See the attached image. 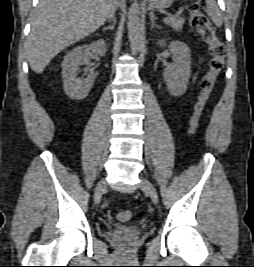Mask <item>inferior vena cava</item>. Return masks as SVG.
<instances>
[{
    "instance_id": "1",
    "label": "inferior vena cava",
    "mask_w": 254,
    "mask_h": 267,
    "mask_svg": "<svg viewBox=\"0 0 254 267\" xmlns=\"http://www.w3.org/2000/svg\"><path fill=\"white\" fill-rule=\"evenodd\" d=\"M117 6H118V1L115 0L114 3H113V6H112V8H111V10L109 12L108 18H113L114 17Z\"/></svg>"
}]
</instances>
